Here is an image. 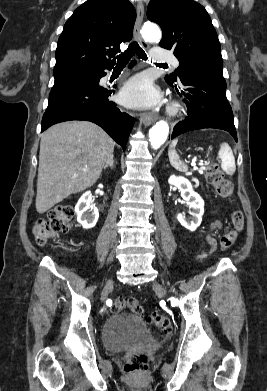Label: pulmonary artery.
I'll use <instances>...</instances> for the list:
<instances>
[{
	"label": "pulmonary artery",
	"mask_w": 267,
	"mask_h": 391,
	"mask_svg": "<svg viewBox=\"0 0 267 391\" xmlns=\"http://www.w3.org/2000/svg\"><path fill=\"white\" fill-rule=\"evenodd\" d=\"M152 60L155 62H170L174 67H179L178 59L170 52L156 47L151 51Z\"/></svg>",
	"instance_id": "pulmonary-artery-1"
}]
</instances>
